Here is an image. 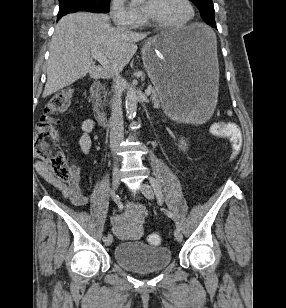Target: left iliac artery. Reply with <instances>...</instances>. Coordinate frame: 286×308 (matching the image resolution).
I'll use <instances>...</instances> for the list:
<instances>
[{
	"instance_id": "44dca946",
	"label": "left iliac artery",
	"mask_w": 286,
	"mask_h": 308,
	"mask_svg": "<svg viewBox=\"0 0 286 308\" xmlns=\"http://www.w3.org/2000/svg\"><path fill=\"white\" fill-rule=\"evenodd\" d=\"M149 182H150L151 186L153 187L154 192H155L157 198L159 199V201H163V195H162V192H161V189H160V186H159L157 180L154 177H150ZM166 214L175 221L176 227L181 230L180 224H179V222H177L175 220L173 214L168 210H166Z\"/></svg>"
}]
</instances>
